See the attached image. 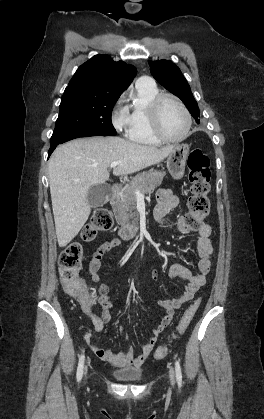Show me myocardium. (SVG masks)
I'll return each mask as SVG.
<instances>
[{
	"label": "myocardium",
	"mask_w": 264,
	"mask_h": 419,
	"mask_svg": "<svg viewBox=\"0 0 264 419\" xmlns=\"http://www.w3.org/2000/svg\"><path fill=\"white\" fill-rule=\"evenodd\" d=\"M166 99H170L174 101L180 107V109L183 111L185 115L186 127L183 134L180 135L179 137H169L164 133L162 129L160 111H161V106ZM149 116H150V124H151L152 132L154 136L161 142L176 143V142L183 141L188 136L191 126H192V117L188 108L186 107V105L183 103V101L180 98H178L177 96L171 93L161 92V93H158L152 99L149 105Z\"/></svg>",
	"instance_id": "1"
}]
</instances>
